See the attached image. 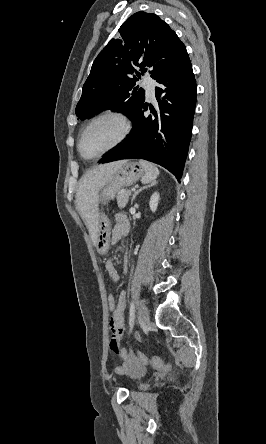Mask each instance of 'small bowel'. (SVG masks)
<instances>
[{
  "instance_id": "obj_1",
  "label": "small bowel",
  "mask_w": 266,
  "mask_h": 444,
  "mask_svg": "<svg viewBox=\"0 0 266 444\" xmlns=\"http://www.w3.org/2000/svg\"><path fill=\"white\" fill-rule=\"evenodd\" d=\"M128 229L127 218L119 214L115 217V225L111 235V242L117 243L126 233ZM106 271L113 282H118L120 276L115 268V265L112 260H107L105 262ZM125 269H128V261L125 262ZM126 292H121L118 297L117 305L115 310L112 312L109 328H110V339L109 346L111 350L116 353L119 357H124V351L120 346V340L123 337L126 331L125 324V307H126ZM130 370L131 374L142 373Z\"/></svg>"
}]
</instances>
